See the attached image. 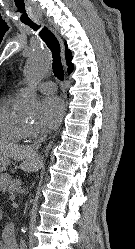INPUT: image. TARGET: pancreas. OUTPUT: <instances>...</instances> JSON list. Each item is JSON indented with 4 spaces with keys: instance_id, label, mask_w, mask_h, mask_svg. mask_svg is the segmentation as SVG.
<instances>
[{
    "instance_id": "cf45deb5",
    "label": "pancreas",
    "mask_w": 135,
    "mask_h": 249,
    "mask_svg": "<svg viewBox=\"0 0 135 249\" xmlns=\"http://www.w3.org/2000/svg\"><path fill=\"white\" fill-rule=\"evenodd\" d=\"M20 185V181L19 180H12L9 183V186L7 188V191L9 192V194H11L12 196H15L14 194L16 193V191L18 190V186Z\"/></svg>"
}]
</instances>
